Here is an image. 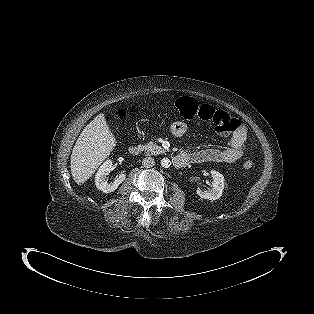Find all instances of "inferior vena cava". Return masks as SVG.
Masks as SVG:
<instances>
[{"instance_id":"1","label":"inferior vena cava","mask_w":314,"mask_h":314,"mask_svg":"<svg viewBox=\"0 0 314 314\" xmlns=\"http://www.w3.org/2000/svg\"><path fill=\"white\" fill-rule=\"evenodd\" d=\"M142 165L145 168H151L155 165V160L152 157H145L142 161Z\"/></svg>"}]
</instances>
